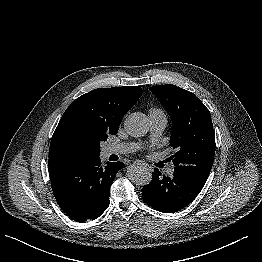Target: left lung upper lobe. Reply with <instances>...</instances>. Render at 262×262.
<instances>
[{
  "label": "left lung upper lobe",
  "mask_w": 262,
  "mask_h": 262,
  "mask_svg": "<svg viewBox=\"0 0 262 262\" xmlns=\"http://www.w3.org/2000/svg\"><path fill=\"white\" fill-rule=\"evenodd\" d=\"M150 90L173 123L170 145L177 152L170 160L174 169L208 178L215 156V134L209 110L193 93L175 85H157Z\"/></svg>",
  "instance_id": "5c2ea615"
}]
</instances>
